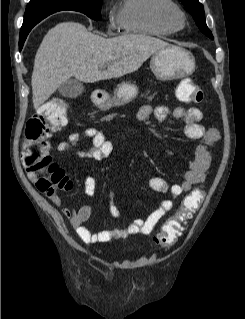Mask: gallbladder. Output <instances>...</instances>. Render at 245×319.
Returning a JSON list of instances; mask_svg holds the SVG:
<instances>
[{"mask_svg": "<svg viewBox=\"0 0 245 319\" xmlns=\"http://www.w3.org/2000/svg\"><path fill=\"white\" fill-rule=\"evenodd\" d=\"M83 91V84L76 79H68L58 88L59 94L67 98H76L80 96Z\"/></svg>", "mask_w": 245, "mask_h": 319, "instance_id": "gallbladder-1", "label": "gallbladder"}]
</instances>
